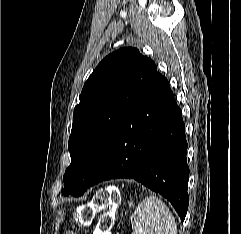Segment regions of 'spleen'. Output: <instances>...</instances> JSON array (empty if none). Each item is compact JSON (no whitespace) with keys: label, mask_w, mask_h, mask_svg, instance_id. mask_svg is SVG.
I'll use <instances>...</instances> for the list:
<instances>
[{"label":"spleen","mask_w":241,"mask_h":234,"mask_svg":"<svg viewBox=\"0 0 241 234\" xmlns=\"http://www.w3.org/2000/svg\"><path fill=\"white\" fill-rule=\"evenodd\" d=\"M133 206V202L129 203ZM132 234H177L175 217L162 200L155 196L144 198L131 216Z\"/></svg>","instance_id":"obj_1"}]
</instances>
